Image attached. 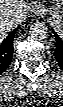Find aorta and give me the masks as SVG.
Here are the masks:
<instances>
[{
  "label": "aorta",
  "instance_id": "aorta-1",
  "mask_svg": "<svg viewBox=\"0 0 63 107\" xmlns=\"http://www.w3.org/2000/svg\"><path fill=\"white\" fill-rule=\"evenodd\" d=\"M29 33L35 40H43L47 37L48 27L43 22H35L30 25Z\"/></svg>",
  "mask_w": 63,
  "mask_h": 107
}]
</instances>
